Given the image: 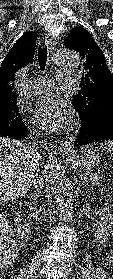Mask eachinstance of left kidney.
Returning <instances> with one entry per match:
<instances>
[{"mask_svg":"<svg viewBox=\"0 0 113 279\" xmlns=\"http://www.w3.org/2000/svg\"><path fill=\"white\" fill-rule=\"evenodd\" d=\"M113 215L108 208L98 213V219L94 224L96 242L104 245L110 234H113Z\"/></svg>","mask_w":113,"mask_h":279,"instance_id":"obj_1","label":"left kidney"}]
</instances>
